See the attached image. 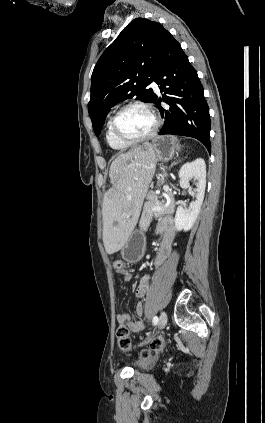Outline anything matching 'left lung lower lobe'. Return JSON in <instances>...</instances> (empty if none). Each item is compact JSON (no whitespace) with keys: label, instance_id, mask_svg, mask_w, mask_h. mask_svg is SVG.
Here are the masks:
<instances>
[{"label":"left lung lower lobe","instance_id":"left-lung-lower-lobe-1","mask_svg":"<svg viewBox=\"0 0 265 423\" xmlns=\"http://www.w3.org/2000/svg\"><path fill=\"white\" fill-rule=\"evenodd\" d=\"M153 81L159 85L161 92L166 93L163 101L169 105V108L163 109L160 104L162 99L155 96L153 103L160 107V113L166 119L159 135L193 137L211 152V123L203 86L179 42L171 34Z\"/></svg>","mask_w":265,"mask_h":423}]
</instances>
